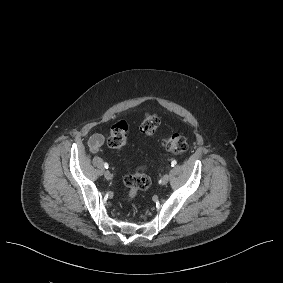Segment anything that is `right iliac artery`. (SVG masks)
Here are the masks:
<instances>
[{
	"label": "right iliac artery",
	"mask_w": 283,
	"mask_h": 283,
	"mask_svg": "<svg viewBox=\"0 0 283 283\" xmlns=\"http://www.w3.org/2000/svg\"><path fill=\"white\" fill-rule=\"evenodd\" d=\"M104 167H105L106 169H108V167H109L108 163H105V164H104Z\"/></svg>",
	"instance_id": "82829eb1"
}]
</instances>
